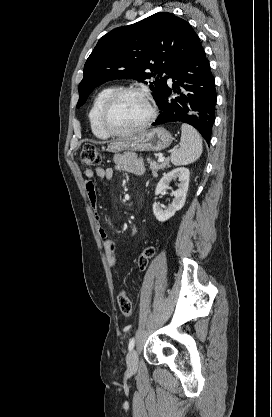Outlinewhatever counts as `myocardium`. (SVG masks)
<instances>
[{
  "mask_svg": "<svg viewBox=\"0 0 272 417\" xmlns=\"http://www.w3.org/2000/svg\"><path fill=\"white\" fill-rule=\"evenodd\" d=\"M126 94H137L141 96L148 105L149 116L142 124H140L139 126L135 128H132L127 131H117L110 127L108 118H109V114L113 105L116 103V101L120 97ZM156 116H157L156 106L154 104V101L151 95L148 92H146L145 90L139 87H124V88L116 89L104 102L102 109H101V113H100V124L104 132L108 134L109 136L127 137V136L134 135L136 133H139L145 130L146 128H148L153 123Z\"/></svg>",
  "mask_w": 272,
  "mask_h": 417,
  "instance_id": "1",
  "label": "myocardium"
}]
</instances>
